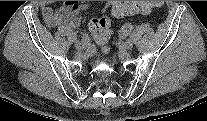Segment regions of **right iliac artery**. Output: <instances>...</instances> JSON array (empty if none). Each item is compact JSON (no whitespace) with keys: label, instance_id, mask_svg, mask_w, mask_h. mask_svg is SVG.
Here are the masks:
<instances>
[{"label":"right iliac artery","instance_id":"obj_1","mask_svg":"<svg viewBox=\"0 0 207 121\" xmlns=\"http://www.w3.org/2000/svg\"><path fill=\"white\" fill-rule=\"evenodd\" d=\"M89 40H90L89 37L87 35H84L82 37V44H83V46L87 47L89 45Z\"/></svg>","mask_w":207,"mask_h":121}]
</instances>
